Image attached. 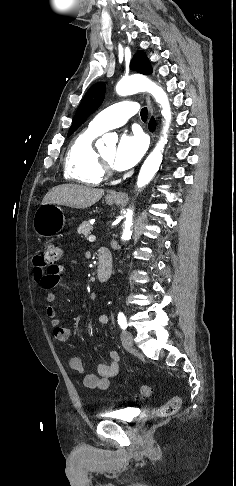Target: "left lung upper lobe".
Listing matches in <instances>:
<instances>
[{"label": "left lung upper lobe", "mask_w": 236, "mask_h": 486, "mask_svg": "<svg viewBox=\"0 0 236 486\" xmlns=\"http://www.w3.org/2000/svg\"><path fill=\"white\" fill-rule=\"evenodd\" d=\"M130 67L145 75L152 72L151 64L146 54L142 51L136 53ZM104 95L105 84L103 82L94 84L87 91L76 111L68 136H70L94 111L99 108L104 100Z\"/></svg>", "instance_id": "left-lung-upper-lobe-1"}]
</instances>
